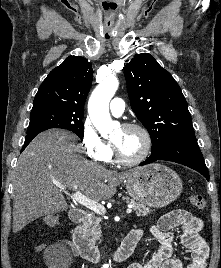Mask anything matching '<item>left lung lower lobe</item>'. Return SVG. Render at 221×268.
Returning a JSON list of instances; mask_svg holds the SVG:
<instances>
[{
    "instance_id": "obj_1",
    "label": "left lung lower lobe",
    "mask_w": 221,
    "mask_h": 268,
    "mask_svg": "<svg viewBox=\"0 0 221 268\" xmlns=\"http://www.w3.org/2000/svg\"><path fill=\"white\" fill-rule=\"evenodd\" d=\"M157 160L173 161L188 166L201 173L209 180V172L198 146L196 136H178L167 142L159 151L152 152L149 158L139 166L150 164Z\"/></svg>"
}]
</instances>
